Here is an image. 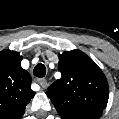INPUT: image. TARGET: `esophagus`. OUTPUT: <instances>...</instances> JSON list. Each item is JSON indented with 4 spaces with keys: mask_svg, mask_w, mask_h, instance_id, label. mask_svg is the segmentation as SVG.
<instances>
[{
    "mask_svg": "<svg viewBox=\"0 0 119 119\" xmlns=\"http://www.w3.org/2000/svg\"><path fill=\"white\" fill-rule=\"evenodd\" d=\"M34 81L38 82V83H41V84L45 83V79L36 78V79H34Z\"/></svg>",
    "mask_w": 119,
    "mask_h": 119,
    "instance_id": "1",
    "label": "esophagus"
}]
</instances>
